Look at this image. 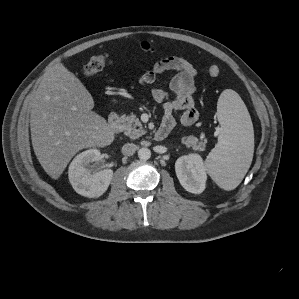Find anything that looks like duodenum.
Segmentation results:
<instances>
[{
	"instance_id": "1",
	"label": "duodenum",
	"mask_w": 299,
	"mask_h": 299,
	"mask_svg": "<svg viewBox=\"0 0 299 299\" xmlns=\"http://www.w3.org/2000/svg\"><path fill=\"white\" fill-rule=\"evenodd\" d=\"M108 126L111 131L113 132H118L120 129V118L117 113H111L108 118ZM169 132L167 129L164 127H160L156 132H155V139L158 141L164 140L168 136Z\"/></svg>"
}]
</instances>
